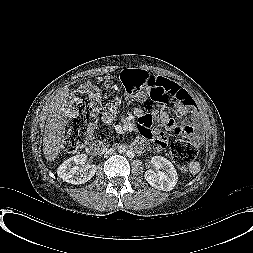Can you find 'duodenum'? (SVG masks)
<instances>
[{"mask_svg": "<svg viewBox=\"0 0 253 253\" xmlns=\"http://www.w3.org/2000/svg\"><path fill=\"white\" fill-rule=\"evenodd\" d=\"M104 146L98 143H91L88 147V154L91 156H97L103 150Z\"/></svg>", "mask_w": 253, "mask_h": 253, "instance_id": "1", "label": "duodenum"}]
</instances>
